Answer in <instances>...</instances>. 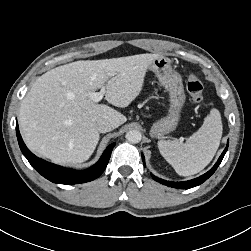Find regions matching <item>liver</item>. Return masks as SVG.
I'll list each match as a JSON object with an SVG mask.
<instances>
[{"label":"liver","instance_id":"obj_1","mask_svg":"<svg viewBox=\"0 0 251 251\" xmlns=\"http://www.w3.org/2000/svg\"><path fill=\"white\" fill-rule=\"evenodd\" d=\"M158 54L76 61L40 76L22 100L21 134L28 148L56 164L82 163L99 141L97 121L114 127L127 118L117 110L94 102L90 94L105 88V99L127 107L141 92L147 69Z\"/></svg>","mask_w":251,"mask_h":251}]
</instances>
